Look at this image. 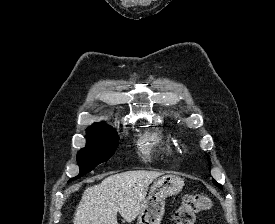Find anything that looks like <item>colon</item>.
Here are the masks:
<instances>
[{"label": "colon", "instance_id": "colon-1", "mask_svg": "<svg viewBox=\"0 0 275 224\" xmlns=\"http://www.w3.org/2000/svg\"><path fill=\"white\" fill-rule=\"evenodd\" d=\"M210 205V199L206 195L186 194L174 213V224H194L197 215L207 211Z\"/></svg>", "mask_w": 275, "mask_h": 224}]
</instances>
